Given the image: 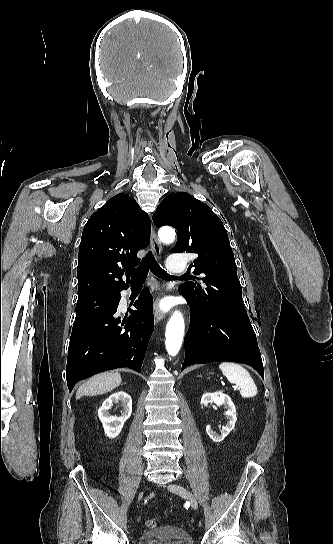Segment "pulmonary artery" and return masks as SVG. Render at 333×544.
Here are the masks:
<instances>
[{
	"instance_id": "e3ab8cb5",
	"label": "pulmonary artery",
	"mask_w": 333,
	"mask_h": 544,
	"mask_svg": "<svg viewBox=\"0 0 333 544\" xmlns=\"http://www.w3.org/2000/svg\"><path fill=\"white\" fill-rule=\"evenodd\" d=\"M169 272L173 274L183 273L186 270V263L182 256L172 255L167 264Z\"/></svg>"
}]
</instances>
